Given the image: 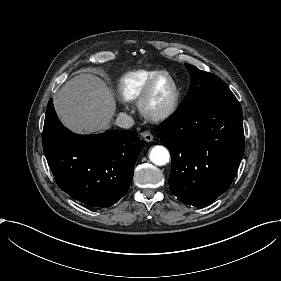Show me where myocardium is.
I'll return each instance as SVG.
<instances>
[{"label": "myocardium", "instance_id": "myocardium-1", "mask_svg": "<svg viewBox=\"0 0 281 281\" xmlns=\"http://www.w3.org/2000/svg\"><path fill=\"white\" fill-rule=\"evenodd\" d=\"M168 79L173 88L172 97L169 104L162 110H152L150 107L152 97L155 91L157 84L164 80ZM179 101V89L178 84L174 76L170 73L164 72L156 77H154L146 86L142 94L138 99V109L142 117L150 121H163L170 118L176 111Z\"/></svg>", "mask_w": 281, "mask_h": 281}]
</instances>
